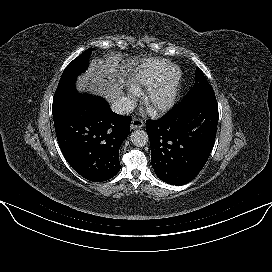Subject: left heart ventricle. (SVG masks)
Instances as JSON below:
<instances>
[{
  "label": "left heart ventricle",
  "mask_w": 272,
  "mask_h": 272,
  "mask_svg": "<svg viewBox=\"0 0 272 272\" xmlns=\"http://www.w3.org/2000/svg\"><path fill=\"white\" fill-rule=\"evenodd\" d=\"M166 95H167V90L165 89L159 94L158 97H159V99H163V98H165Z\"/></svg>",
  "instance_id": "left-heart-ventricle-1"
}]
</instances>
